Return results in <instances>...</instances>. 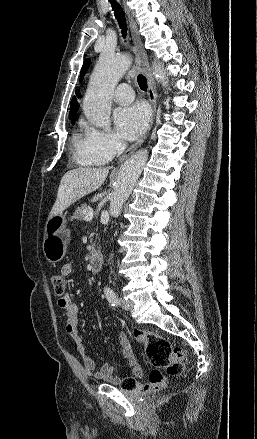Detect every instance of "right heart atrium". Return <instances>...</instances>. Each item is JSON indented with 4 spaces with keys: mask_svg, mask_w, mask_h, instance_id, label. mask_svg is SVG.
Segmentation results:
<instances>
[{
    "mask_svg": "<svg viewBox=\"0 0 257 439\" xmlns=\"http://www.w3.org/2000/svg\"><path fill=\"white\" fill-rule=\"evenodd\" d=\"M84 156L99 162H106L117 155L122 148V139L112 131L94 127L85 128Z\"/></svg>",
    "mask_w": 257,
    "mask_h": 439,
    "instance_id": "d8ad5b80",
    "label": "right heart atrium"
}]
</instances>
